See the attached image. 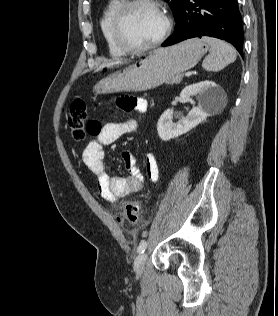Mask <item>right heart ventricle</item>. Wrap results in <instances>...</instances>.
I'll list each match as a JSON object with an SVG mask.
<instances>
[{"instance_id":"obj_1","label":"right heart ventricle","mask_w":278,"mask_h":316,"mask_svg":"<svg viewBox=\"0 0 278 316\" xmlns=\"http://www.w3.org/2000/svg\"><path fill=\"white\" fill-rule=\"evenodd\" d=\"M124 2L125 0H108L99 19L100 30L107 50L114 58L123 57L127 53L117 44L112 28L113 18Z\"/></svg>"}]
</instances>
